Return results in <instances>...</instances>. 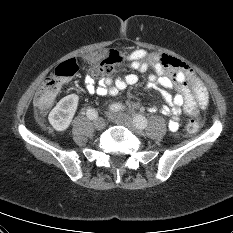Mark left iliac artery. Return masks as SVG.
<instances>
[{"label":"left iliac artery","instance_id":"obj_1","mask_svg":"<svg viewBox=\"0 0 233 233\" xmlns=\"http://www.w3.org/2000/svg\"><path fill=\"white\" fill-rule=\"evenodd\" d=\"M111 109L114 111H119L122 108L120 105H113ZM134 123L140 129L146 128L147 124H148L147 119L145 117H143L142 115H135L134 116Z\"/></svg>","mask_w":233,"mask_h":233}]
</instances>
